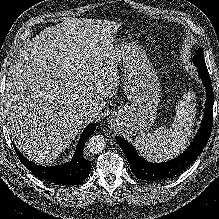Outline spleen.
<instances>
[{"label": "spleen", "instance_id": "spleen-1", "mask_svg": "<svg viewBox=\"0 0 219 219\" xmlns=\"http://www.w3.org/2000/svg\"><path fill=\"white\" fill-rule=\"evenodd\" d=\"M195 96L187 93L175 107L174 122L158 127L152 134L142 133L135 138L136 149L150 161H166L185 148L192 134L195 117Z\"/></svg>", "mask_w": 219, "mask_h": 219}]
</instances>
